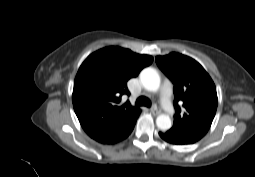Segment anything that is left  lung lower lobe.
<instances>
[{
  "label": "left lung lower lobe",
  "mask_w": 255,
  "mask_h": 177,
  "mask_svg": "<svg viewBox=\"0 0 255 177\" xmlns=\"http://www.w3.org/2000/svg\"><path fill=\"white\" fill-rule=\"evenodd\" d=\"M159 135L166 142L175 144V145H186V144L195 143L192 140L182 135H179L171 130H168L167 132H160Z\"/></svg>",
  "instance_id": "0a47b994"
}]
</instances>
